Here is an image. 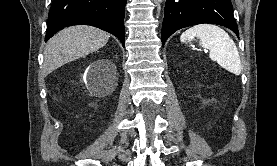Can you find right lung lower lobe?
<instances>
[{"instance_id":"right-lung-lower-lobe-1","label":"right lung lower lobe","mask_w":277,"mask_h":166,"mask_svg":"<svg viewBox=\"0 0 277 166\" xmlns=\"http://www.w3.org/2000/svg\"><path fill=\"white\" fill-rule=\"evenodd\" d=\"M127 0H53L45 41L71 25H91L105 30L125 45L124 15Z\"/></svg>"}]
</instances>
